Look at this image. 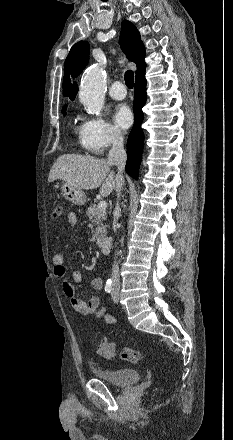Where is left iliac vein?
I'll use <instances>...</instances> for the list:
<instances>
[{
	"label": "left iliac vein",
	"mask_w": 233,
	"mask_h": 440,
	"mask_svg": "<svg viewBox=\"0 0 233 440\" xmlns=\"http://www.w3.org/2000/svg\"><path fill=\"white\" fill-rule=\"evenodd\" d=\"M111 296L115 303L119 301V288L117 285L114 286Z\"/></svg>",
	"instance_id": "left-iliac-vein-1"
}]
</instances>
